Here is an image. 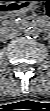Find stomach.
I'll use <instances>...</instances> for the list:
<instances>
[{"mask_svg": "<svg viewBox=\"0 0 50 111\" xmlns=\"http://www.w3.org/2000/svg\"><path fill=\"white\" fill-rule=\"evenodd\" d=\"M36 0H9L0 3V12L3 16H16L32 10L36 6Z\"/></svg>", "mask_w": 50, "mask_h": 111, "instance_id": "obj_1", "label": "stomach"}]
</instances>
